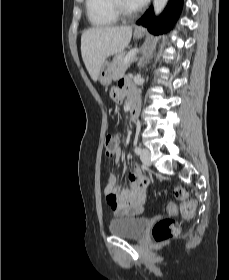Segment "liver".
Segmentation results:
<instances>
[{
  "instance_id": "obj_1",
  "label": "liver",
  "mask_w": 229,
  "mask_h": 280,
  "mask_svg": "<svg viewBox=\"0 0 229 280\" xmlns=\"http://www.w3.org/2000/svg\"><path fill=\"white\" fill-rule=\"evenodd\" d=\"M132 37V27H95L85 30L81 36V54L85 67L93 81H97L106 59L121 53Z\"/></svg>"
}]
</instances>
